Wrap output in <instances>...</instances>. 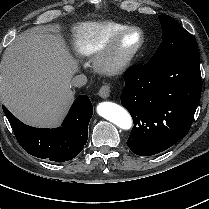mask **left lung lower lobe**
Returning <instances> with one entry per match:
<instances>
[{
    "label": "left lung lower lobe",
    "instance_id": "obj_1",
    "mask_svg": "<svg viewBox=\"0 0 209 209\" xmlns=\"http://www.w3.org/2000/svg\"><path fill=\"white\" fill-rule=\"evenodd\" d=\"M200 54L170 63L133 66L125 75L121 104L134 126L127 140L137 155L160 153L188 133L201 97Z\"/></svg>",
    "mask_w": 209,
    "mask_h": 209
}]
</instances>
